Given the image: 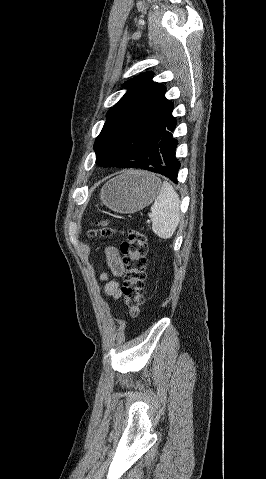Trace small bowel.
Instances as JSON below:
<instances>
[{
    "label": "small bowel",
    "mask_w": 266,
    "mask_h": 479,
    "mask_svg": "<svg viewBox=\"0 0 266 479\" xmlns=\"http://www.w3.org/2000/svg\"><path fill=\"white\" fill-rule=\"evenodd\" d=\"M106 256L111 273L116 277H121L124 273V266L117 250L113 247L108 248L106 250ZM100 278L105 282L106 293L114 300L119 299L121 292L118 280L110 278L105 272L101 273Z\"/></svg>",
    "instance_id": "c3829d8e"
}]
</instances>
